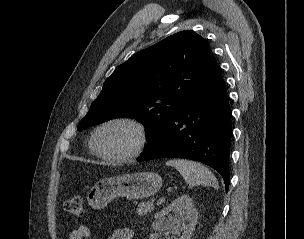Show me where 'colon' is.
I'll return each instance as SVG.
<instances>
[{"instance_id":"obj_1","label":"colon","mask_w":304,"mask_h":239,"mask_svg":"<svg viewBox=\"0 0 304 239\" xmlns=\"http://www.w3.org/2000/svg\"><path fill=\"white\" fill-rule=\"evenodd\" d=\"M64 210L74 216H81L84 213V201L81 196H73L64 201Z\"/></svg>"}]
</instances>
